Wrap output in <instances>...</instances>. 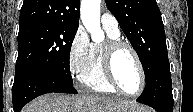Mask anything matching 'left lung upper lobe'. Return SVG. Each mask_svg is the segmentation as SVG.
Wrapping results in <instances>:
<instances>
[{
  "instance_id": "left-lung-upper-lobe-1",
  "label": "left lung upper lobe",
  "mask_w": 193,
  "mask_h": 112,
  "mask_svg": "<svg viewBox=\"0 0 193 112\" xmlns=\"http://www.w3.org/2000/svg\"><path fill=\"white\" fill-rule=\"evenodd\" d=\"M109 11L135 49L145 80L167 55L166 36L156 0H105Z\"/></svg>"
}]
</instances>
